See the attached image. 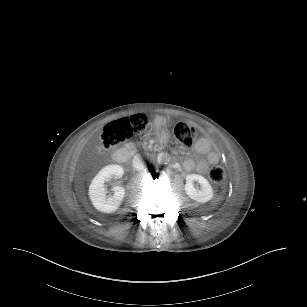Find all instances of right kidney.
<instances>
[{
    "instance_id": "1",
    "label": "right kidney",
    "mask_w": 307,
    "mask_h": 307,
    "mask_svg": "<svg viewBox=\"0 0 307 307\" xmlns=\"http://www.w3.org/2000/svg\"><path fill=\"white\" fill-rule=\"evenodd\" d=\"M123 175L124 169L122 166L108 165L93 179L89 187V196L98 211L111 214L119 209L126 194L125 188L117 186L114 188V195L107 196L104 183L109 181L113 176L121 178Z\"/></svg>"
}]
</instances>
